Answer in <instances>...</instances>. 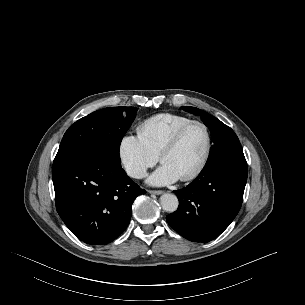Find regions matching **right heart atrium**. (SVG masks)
<instances>
[{"mask_svg":"<svg viewBox=\"0 0 305 305\" xmlns=\"http://www.w3.org/2000/svg\"><path fill=\"white\" fill-rule=\"evenodd\" d=\"M118 152L126 172L136 179L142 178L146 171L157 162V156L136 135L123 136Z\"/></svg>","mask_w":305,"mask_h":305,"instance_id":"1","label":"right heart atrium"}]
</instances>
